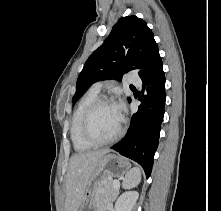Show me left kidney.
<instances>
[{"instance_id":"5707ae66","label":"left kidney","mask_w":221,"mask_h":211,"mask_svg":"<svg viewBox=\"0 0 221 211\" xmlns=\"http://www.w3.org/2000/svg\"><path fill=\"white\" fill-rule=\"evenodd\" d=\"M138 197L139 193L136 191L124 192L115 203V211H132Z\"/></svg>"}]
</instances>
